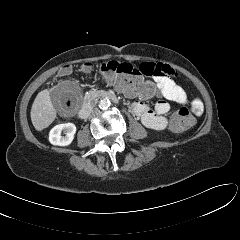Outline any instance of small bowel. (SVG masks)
<instances>
[{
	"instance_id": "obj_1",
	"label": "small bowel",
	"mask_w": 240,
	"mask_h": 240,
	"mask_svg": "<svg viewBox=\"0 0 240 240\" xmlns=\"http://www.w3.org/2000/svg\"><path fill=\"white\" fill-rule=\"evenodd\" d=\"M144 76L153 78L164 99L159 100L154 109L141 101L132 105L133 112L140 118L143 125L154 130H163L168 125L166 114L170 110L169 102L189 106L195 116L203 113V103L200 99H191L187 92L175 80L174 70L162 63L144 62L138 66Z\"/></svg>"
}]
</instances>
